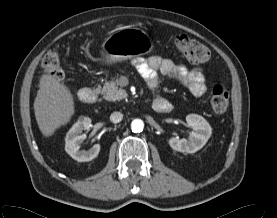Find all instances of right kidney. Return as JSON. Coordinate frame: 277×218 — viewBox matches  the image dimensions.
I'll list each match as a JSON object with an SVG mask.
<instances>
[{
    "instance_id": "ca27d5eb",
    "label": "right kidney",
    "mask_w": 277,
    "mask_h": 218,
    "mask_svg": "<svg viewBox=\"0 0 277 218\" xmlns=\"http://www.w3.org/2000/svg\"><path fill=\"white\" fill-rule=\"evenodd\" d=\"M91 126V119L89 117H80L78 121L71 127L65 137V151L78 162L91 161L100 151V145L95 144L89 150H79L80 145L86 138L82 134L83 130L89 129Z\"/></svg>"
}]
</instances>
